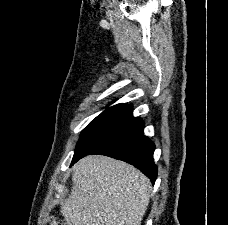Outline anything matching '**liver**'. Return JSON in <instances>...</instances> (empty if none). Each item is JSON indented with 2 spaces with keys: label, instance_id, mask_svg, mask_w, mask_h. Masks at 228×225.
<instances>
[{
  "label": "liver",
  "instance_id": "1",
  "mask_svg": "<svg viewBox=\"0 0 228 225\" xmlns=\"http://www.w3.org/2000/svg\"><path fill=\"white\" fill-rule=\"evenodd\" d=\"M72 171L71 195L61 207L66 225H141L152 187L138 169L89 155Z\"/></svg>",
  "mask_w": 228,
  "mask_h": 225
}]
</instances>
